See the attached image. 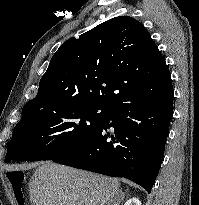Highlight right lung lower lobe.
Here are the masks:
<instances>
[{"label": "right lung lower lobe", "instance_id": "1", "mask_svg": "<svg viewBox=\"0 0 199 205\" xmlns=\"http://www.w3.org/2000/svg\"><path fill=\"white\" fill-rule=\"evenodd\" d=\"M170 72L109 108L107 123L84 144L53 161L124 177L149 193L158 175L173 115ZM112 127L114 132L109 131Z\"/></svg>", "mask_w": 199, "mask_h": 205}]
</instances>
